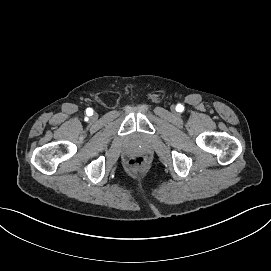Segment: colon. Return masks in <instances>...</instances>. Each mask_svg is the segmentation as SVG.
<instances>
[{
    "label": "colon",
    "instance_id": "colon-1",
    "mask_svg": "<svg viewBox=\"0 0 271 271\" xmlns=\"http://www.w3.org/2000/svg\"><path fill=\"white\" fill-rule=\"evenodd\" d=\"M146 159L143 156H135L128 161V166L135 170H141L146 166Z\"/></svg>",
    "mask_w": 271,
    "mask_h": 271
}]
</instances>
